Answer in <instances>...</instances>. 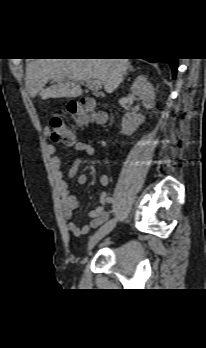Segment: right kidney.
<instances>
[{"mask_svg": "<svg viewBox=\"0 0 206 348\" xmlns=\"http://www.w3.org/2000/svg\"><path fill=\"white\" fill-rule=\"evenodd\" d=\"M131 92L142 100V104L146 109L154 107V88L145 75H140L135 79ZM144 121L145 117L142 114H138L136 111L127 112L122 118V133L127 136L132 135Z\"/></svg>", "mask_w": 206, "mask_h": 348, "instance_id": "obj_1", "label": "right kidney"}]
</instances>
